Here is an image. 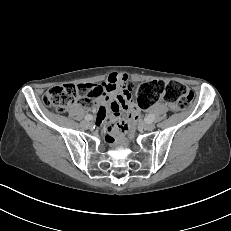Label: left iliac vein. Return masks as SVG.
Returning <instances> with one entry per match:
<instances>
[{
	"label": "left iliac vein",
	"instance_id": "obj_1",
	"mask_svg": "<svg viewBox=\"0 0 231 231\" xmlns=\"http://www.w3.org/2000/svg\"><path fill=\"white\" fill-rule=\"evenodd\" d=\"M143 128L148 131H152L155 129V124L152 122H145L142 124Z\"/></svg>",
	"mask_w": 231,
	"mask_h": 231
}]
</instances>
